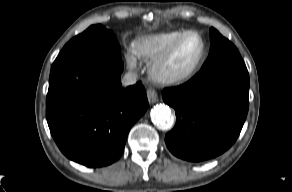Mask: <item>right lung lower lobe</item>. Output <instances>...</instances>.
I'll list each match as a JSON object with an SVG mask.
<instances>
[{"label": "right lung lower lobe", "mask_w": 292, "mask_h": 192, "mask_svg": "<svg viewBox=\"0 0 292 192\" xmlns=\"http://www.w3.org/2000/svg\"><path fill=\"white\" fill-rule=\"evenodd\" d=\"M123 62L109 49L69 50L54 61L46 118L69 159L102 167L123 153L127 135L149 104L140 82L121 87Z\"/></svg>", "instance_id": "1"}]
</instances>
